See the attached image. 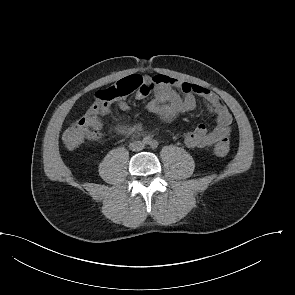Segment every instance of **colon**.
Masks as SVG:
<instances>
[{
	"mask_svg": "<svg viewBox=\"0 0 295 295\" xmlns=\"http://www.w3.org/2000/svg\"><path fill=\"white\" fill-rule=\"evenodd\" d=\"M142 86L143 78L140 75H130L98 91L93 104L85 114L63 132L62 140L65 146L75 149L86 139L97 138L100 116L118 100L140 90ZM229 148V143L223 142L214 147V152L218 156H225L229 152Z\"/></svg>",
	"mask_w": 295,
	"mask_h": 295,
	"instance_id": "obj_1",
	"label": "colon"
}]
</instances>
